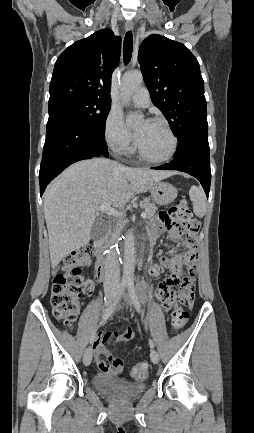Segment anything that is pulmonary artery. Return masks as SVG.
Here are the masks:
<instances>
[{
    "label": "pulmonary artery",
    "mask_w": 254,
    "mask_h": 433,
    "mask_svg": "<svg viewBox=\"0 0 254 433\" xmlns=\"http://www.w3.org/2000/svg\"><path fill=\"white\" fill-rule=\"evenodd\" d=\"M131 101L133 105L137 107L145 108L149 106L150 98H149L148 90L145 87H140L132 94Z\"/></svg>",
    "instance_id": "obj_1"
}]
</instances>
